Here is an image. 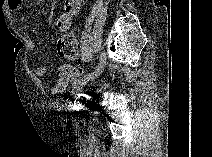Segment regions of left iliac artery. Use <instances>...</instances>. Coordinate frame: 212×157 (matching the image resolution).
Returning <instances> with one entry per match:
<instances>
[{
	"instance_id": "44dca946",
	"label": "left iliac artery",
	"mask_w": 212,
	"mask_h": 157,
	"mask_svg": "<svg viewBox=\"0 0 212 157\" xmlns=\"http://www.w3.org/2000/svg\"><path fill=\"white\" fill-rule=\"evenodd\" d=\"M106 53L105 52H101L100 56H99V60H98V64L96 66V69L90 73H86L84 75H81L80 77H78L77 79L74 80L73 85H76L78 83H82L85 81H89L90 79L98 76L102 70H104L105 66H106Z\"/></svg>"
}]
</instances>
